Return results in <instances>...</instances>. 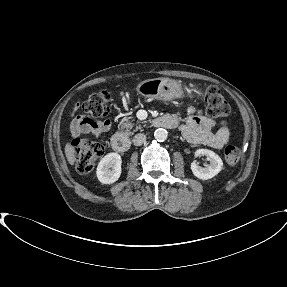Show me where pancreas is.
Here are the masks:
<instances>
[{"label": "pancreas", "mask_w": 287, "mask_h": 287, "mask_svg": "<svg viewBox=\"0 0 287 287\" xmlns=\"http://www.w3.org/2000/svg\"><path fill=\"white\" fill-rule=\"evenodd\" d=\"M133 126H134L133 123L126 121L125 123H122L121 129H126V133L128 135H131V134H133V132H130L129 130L132 129ZM141 128H142L141 125H139V126L136 127V129H134V131H137V130H139Z\"/></svg>", "instance_id": "pancreas-1"}]
</instances>
